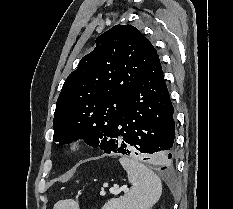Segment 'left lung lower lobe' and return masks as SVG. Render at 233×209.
Listing matches in <instances>:
<instances>
[{"label": "left lung lower lobe", "mask_w": 233, "mask_h": 209, "mask_svg": "<svg viewBox=\"0 0 233 209\" xmlns=\"http://www.w3.org/2000/svg\"><path fill=\"white\" fill-rule=\"evenodd\" d=\"M175 121L158 54L132 89L103 140L105 153L137 155L165 165L174 156Z\"/></svg>", "instance_id": "0a47b994"}]
</instances>
